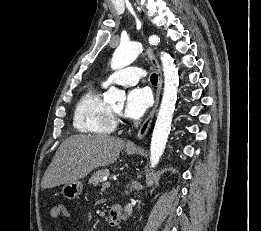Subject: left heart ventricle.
I'll list each match as a JSON object with an SVG mask.
<instances>
[{
    "label": "left heart ventricle",
    "mask_w": 261,
    "mask_h": 231,
    "mask_svg": "<svg viewBox=\"0 0 261 231\" xmlns=\"http://www.w3.org/2000/svg\"><path fill=\"white\" fill-rule=\"evenodd\" d=\"M113 109H114L115 111H119V112H120L121 109H122V105L114 106Z\"/></svg>",
    "instance_id": "b2bd125f"
}]
</instances>
